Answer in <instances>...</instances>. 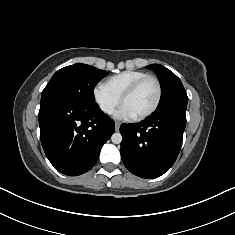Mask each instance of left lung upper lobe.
<instances>
[{
    "label": "left lung upper lobe",
    "mask_w": 235,
    "mask_h": 235,
    "mask_svg": "<svg viewBox=\"0 0 235 235\" xmlns=\"http://www.w3.org/2000/svg\"><path fill=\"white\" fill-rule=\"evenodd\" d=\"M153 70L161 83L162 98L156 112L170 108H187L188 97L180 79L169 69L159 64L147 66ZM155 112V113H156Z\"/></svg>",
    "instance_id": "obj_1"
}]
</instances>
